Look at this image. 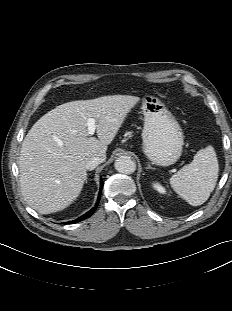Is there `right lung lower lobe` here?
I'll return each mask as SVG.
<instances>
[{
  "label": "right lung lower lobe",
  "mask_w": 232,
  "mask_h": 311,
  "mask_svg": "<svg viewBox=\"0 0 232 311\" xmlns=\"http://www.w3.org/2000/svg\"><path fill=\"white\" fill-rule=\"evenodd\" d=\"M102 188H103V181H102V178L100 180V192H99V197H98V201L96 203V206L94 208H92L90 211H88L86 214L82 215L81 217L77 218L76 220H73V221H69V222H66V224H71V223H77V222H80L88 217H90L96 210L97 208V205L99 203V200H100V196H101V192H102Z\"/></svg>",
  "instance_id": "1"
}]
</instances>
